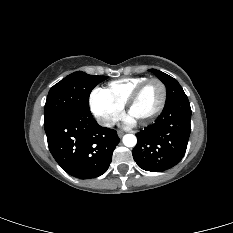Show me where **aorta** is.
<instances>
[{
    "mask_svg": "<svg viewBox=\"0 0 233 233\" xmlns=\"http://www.w3.org/2000/svg\"><path fill=\"white\" fill-rule=\"evenodd\" d=\"M122 141L127 147H134L137 144V138L133 134L124 135Z\"/></svg>",
    "mask_w": 233,
    "mask_h": 233,
    "instance_id": "obj_1",
    "label": "aorta"
}]
</instances>
